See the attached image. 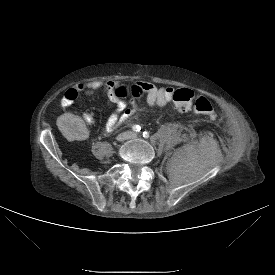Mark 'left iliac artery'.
Masks as SVG:
<instances>
[{"mask_svg":"<svg viewBox=\"0 0 275 275\" xmlns=\"http://www.w3.org/2000/svg\"><path fill=\"white\" fill-rule=\"evenodd\" d=\"M143 137H144V138H148V137H149V133H148V132H146V131H145V132H143Z\"/></svg>","mask_w":275,"mask_h":275,"instance_id":"44dca946","label":"left iliac artery"}]
</instances>
